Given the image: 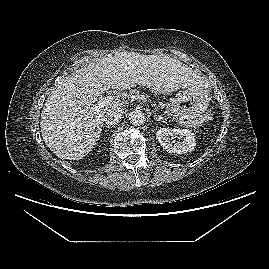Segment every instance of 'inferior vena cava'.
<instances>
[{
	"label": "inferior vena cava",
	"instance_id": "1",
	"mask_svg": "<svg viewBox=\"0 0 269 269\" xmlns=\"http://www.w3.org/2000/svg\"><path fill=\"white\" fill-rule=\"evenodd\" d=\"M123 113H124L123 108L113 107L107 110L103 120L107 125H116L122 118Z\"/></svg>",
	"mask_w": 269,
	"mask_h": 269
}]
</instances>
